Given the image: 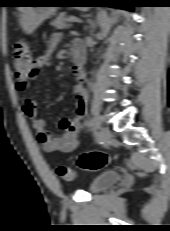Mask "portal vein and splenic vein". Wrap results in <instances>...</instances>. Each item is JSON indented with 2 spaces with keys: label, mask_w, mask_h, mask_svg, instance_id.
Segmentation results:
<instances>
[{
  "label": "portal vein and splenic vein",
  "mask_w": 170,
  "mask_h": 231,
  "mask_svg": "<svg viewBox=\"0 0 170 231\" xmlns=\"http://www.w3.org/2000/svg\"><path fill=\"white\" fill-rule=\"evenodd\" d=\"M68 21H69V22H79L78 19L73 18V17L69 18Z\"/></svg>",
  "instance_id": "obj_1"
}]
</instances>
